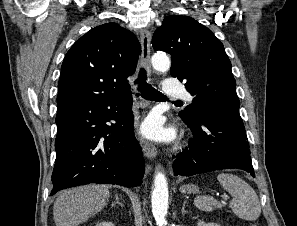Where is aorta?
I'll return each instance as SVG.
<instances>
[{
    "label": "aorta",
    "mask_w": 297,
    "mask_h": 226,
    "mask_svg": "<svg viewBox=\"0 0 297 226\" xmlns=\"http://www.w3.org/2000/svg\"><path fill=\"white\" fill-rule=\"evenodd\" d=\"M151 61L153 68L157 71L165 72L170 68V59L165 53H155ZM168 196L167 179L164 173L158 171L154 178L151 202L153 216L159 226H163L166 223Z\"/></svg>",
    "instance_id": "obj_1"
}]
</instances>
